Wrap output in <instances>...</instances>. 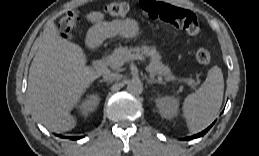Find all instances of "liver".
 Segmentation results:
<instances>
[{"label": "liver", "mask_w": 259, "mask_h": 156, "mask_svg": "<svg viewBox=\"0 0 259 156\" xmlns=\"http://www.w3.org/2000/svg\"><path fill=\"white\" fill-rule=\"evenodd\" d=\"M86 63L80 46L62 38L54 23L46 26L29 69L27 95L34 115L48 129L64 132L76 126L70 112L104 72Z\"/></svg>", "instance_id": "1"}]
</instances>
